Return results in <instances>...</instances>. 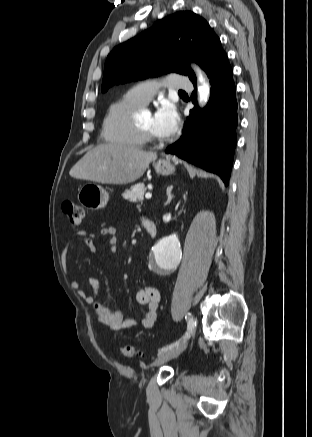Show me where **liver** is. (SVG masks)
Segmentation results:
<instances>
[{
    "label": "liver",
    "mask_w": 312,
    "mask_h": 437,
    "mask_svg": "<svg viewBox=\"0 0 312 437\" xmlns=\"http://www.w3.org/2000/svg\"><path fill=\"white\" fill-rule=\"evenodd\" d=\"M156 159V152L124 144L104 143L88 151L69 174L77 179L103 184H128L140 178Z\"/></svg>",
    "instance_id": "liver-1"
}]
</instances>
